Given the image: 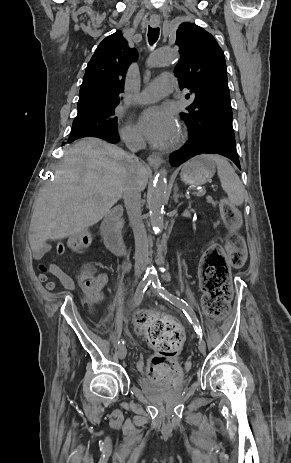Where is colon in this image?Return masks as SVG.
Instances as JSON below:
<instances>
[{"label":"colon","instance_id":"1","mask_svg":"<svg viewBox=\"0 0 291 463\" xmlns=\"http://www.w3.org/2000/svg\"><path fill=\"white\" fill-rule=\"evenodd\" d=\"M222 218L230 228L240 224V214L236 207L227 200L220 204ZM91 240L87 230L77 231L67 242L69 250L83 251ZM243 244L236 235H230L227 245L214 244L203 255L200 263V284L203 291L204 310L213 318L223 317L229 309L231 297L229 261L235 265L243 262ZM94 266L89 265L81 279V289L85 298V307L93 310V299L97 295L99 276L93 273ZM138 328L145 335L150 345L157 351L149 371L153 378H174L179 374V367L174 358L184 340L180 325L163 317L150 314L141 315Z\"/></svg>","mask_w":291,"mask_h":463}]
</instances>
